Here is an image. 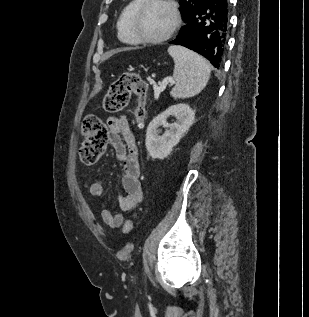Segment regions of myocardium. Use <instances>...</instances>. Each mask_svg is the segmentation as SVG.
Returning a JSON list of instances; mask_svg holds the SVG:
<instances>
[{
	"instance_id": "1",
	"label": "myocardium",
	"mask_w": 309,
	"mask_h": 317,
	"mask_svg": "<svg viewBox=\"0 0 309 317\" xmlns=\"http://www.w3.org/2000/svg\"><path fill=\"white\" fill-rule=\"evenodd\" d=\"M153 3H162L170 7L174 15V22L172 27L167 33L159 37L150 38V37H146L142 35L139 32L137 24H138L140 15L144 11V9ZM130 24H131L132 33L138 42L147 43V44H158V43L167 41L177 32V30L180 28L182 24V17H181V12L178 7V4L174 0H142L141 3L136 7V9L133 12L131 16Z\"/></svg>"
}]
</instances>
